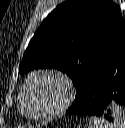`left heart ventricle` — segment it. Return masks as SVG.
Instances as JSON below:
<instances>
[{"mask_svg": "<svg viewBox=\"0 0 125 128\" xmlns=\"http://www.w3.org/2000/svg\"><path fill=\"white\" fill-rule=\"evenodd\" d=\"M64 96V87L52 77L40 76L32 81L25 92L24 106L27 112L39 114L56 108Z\"/></svg>", "mask_w": 125, "mask_h": 128, "instance_id": "obj_1", "label": "left heart ventricle"}]
</instances>
